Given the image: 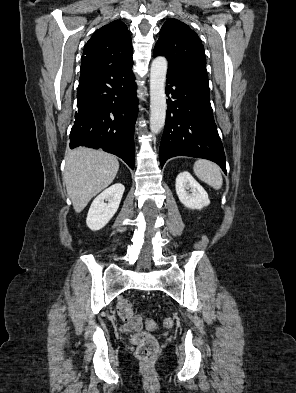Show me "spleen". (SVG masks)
Listing matches in <instances>:
<instances>
[{
    "label": "spleen",
    "instance_id": "spleen-1",
    "mask_svg": "<svg viewBox=\"0 0 296 393\" xmlns=\"http://www.w3.org/2000/svg\"><path fill=\"white\" fill-rule=\"evenodd\" d=\"M195 175L214 189H220L223 184L220 168L215 163L199 159L193 166Z\"/></svg>",
    "mask_w": 296,
    "mask_h": 393
}]
</instances>
